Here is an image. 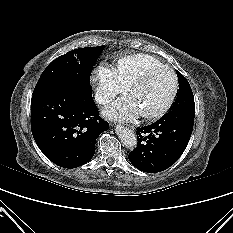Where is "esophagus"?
Returning a JSON list of instances; mask_svg holds the SVG:
<instances>
[{
	"instance_id": "1",
	"label": "esophagus",
	"mask_w": 233,
	"mask_h": 233,
	"mask_svg": "<svg viewBox=\"0 0 233 233\" xmlns=\"http://www.w3.org/2000/svg\"><path fill=\"white\" fill-rule=\"evenodd\" d=\"M129 128H130L131 130H134V126H129Z\"/></svg>"
}]
</instances>
